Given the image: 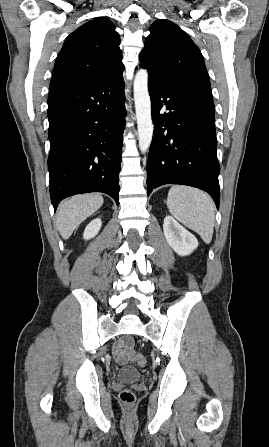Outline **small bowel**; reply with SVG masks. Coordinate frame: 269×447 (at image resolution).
Here are the masks:
<instances>
[{"mask_svg":"<svg viewBox=\"0 0 269 447\" xmlns=\"http://www.w3.org/2000/svg\"><path fill=\"white\" fill-rule=\"evenodd\" d=\"M125 337L127 339H130L131 337H133V334L127 332L125 334ZM127 350L128 348L124 345L123 341H120V343L115 347L114 356L119 363L123 364L127 361Z\"/></svg>","mask_w":269,"mask_h":447,"instance_id":"obj_1","label":"small bowel"}]
</instances>
